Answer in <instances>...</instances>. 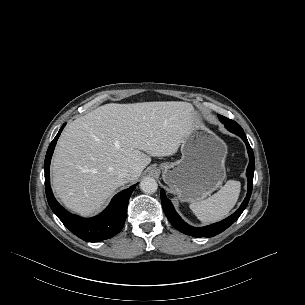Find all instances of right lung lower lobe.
Listing matches in <instances>:
<instances>
[{"label": "right lung lower lobe", "mask_w": 305, "mask_h": 305, "mask_svg": "<svg viewBox=\"0 0 305 305\" xmlns=\"http://www.w3.org/2000/svg\"><path fill=\"white\" fill-rule=\"evenodd\" d=\"M65 125L66 123L51 142L45 157V188L48 204L63 224L84 241L97 242L108 239L121 231L127 216L128 201L136 184L116 194L109 206L98 216L84 219L67 212L54 198L49 177V166L54 147Z\"/></svg>", "instance_id": "98d812e1"}]
</instances>
